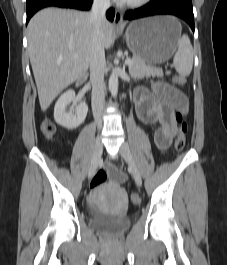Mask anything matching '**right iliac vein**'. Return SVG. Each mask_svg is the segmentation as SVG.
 <instances>
[{
    "mask_svg": "<svg viewBox=\"0 0 227 265\" xmlns=\"http://www.w3.org/2000/svg\"><path fill=\"white\" fill-rule=\"evenodd\" d=\"M102 152H103V145L101 139L98 137L95 143V149L91 160V165L88 171L89 178H91L95 174L101 160Z\"/></svg>",
    "mask_w": 227,
    "mask_h": 265,
    "instance_id": "63e3f726",
    "label": "right iliac vein"
}]
</instances>
